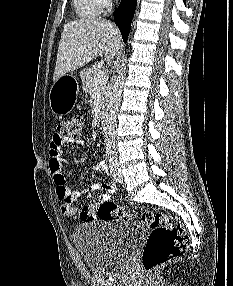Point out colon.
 I'll return each instance as SVG.
<instances>
[{"label":"colon","instance_id":"1","mask_svg":"<svg viewBox=\"0 0 233 286\" xmlns=\"http://www.w3.org/2000/svg\"><path fill=\"white\" fill-rule=\"evenodd\" d=\"M82 128L83 118L75 115L58 124L56 135L66 141H78ZM96 216L105 221L129 220L133 214L108 200L98 204ZM142 220L151 228L142 254V266L145 271L160 267L188 248L189 237L178 218L149 210L142 214Z\"/></svg>","mask_w":233,"mask_h":286}]
</instances>
